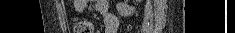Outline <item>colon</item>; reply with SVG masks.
Returning <instances> with one entry per match:
<instances>
[{
    "label": "colon",
    "mask_w": 235,
    "mask_h": 33,
    "mask_svg": "<svg viewBox=\"0 0 235 33\" xmlns=\"http://www.w3.org/2000/svg\"><path fill=\"white\" fill-rule=\"evenodd\" d=\"M73 33H93L91 22L86 19H76L73 24Z\"/></svg>",
    "instance_id": "colon-1"
}]
</instances>
